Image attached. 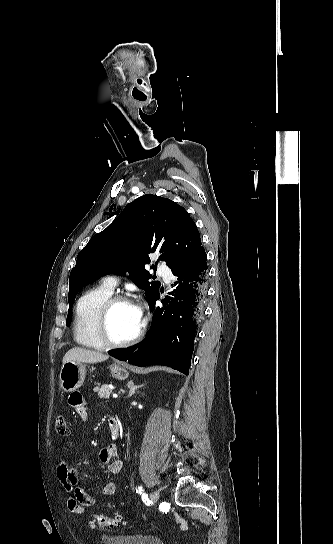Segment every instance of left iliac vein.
Wrapping results in <instances>:
<instances>
[{
    "instance_id": "left-iliac-vein-1",
    "label": "left iliac vein",
    "mask_w": 333,
    "mask_h": 544,
    "mask_svg": "<svg viewBox=\"0 0 333 544\" xmlns=\"http://www.w3.org/2000/svg\"><path fill=\"white\" fill-rule=\"evenodd\" d=\"M150 497H151V501H152L154 504L157 503L158 500H159V497H160L159 491H154V492H152Z\"/></svg>"
}]
</instances>
